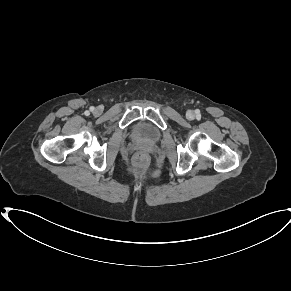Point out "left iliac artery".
Segmentation results:
<instances>
[{
    "label": "left iliac artery",
    "mask_w": 291,
    "mask_h": 291,
    "mask_svg": "<svg viewBox=\"0 0 291 291\" xmlns=\"http://www.w3.org/2000/svg\"><path fill=\"white\" fill-rule=\"evenodd\" d=\"M196 113H197V116H199V111H198V110H197V112H196Z\"/></svg>",
    "instance_id": "left-iliac-artery-1"
}]
</instances>
